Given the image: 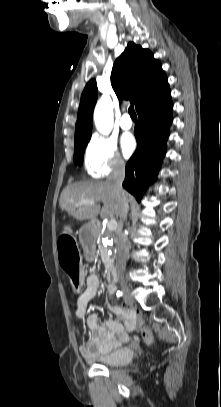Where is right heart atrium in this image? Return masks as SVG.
Segmentation results:
<instances>
[{
    "instance_id": "1",
    "label": "right heart atrium",
    "mask_w": 221,
    "mask_h": 407,
    "mask_svg": "<svg viewBox=\"0 0 221 407\" xmlns=\"http://www.w3.org/2000/svg\"><path fill=\"white\" fill-rule=\"evenodd\" d=\"M84 162L87 172L95 178L104 177L125 166L115 141L101 135H94L88 142Z\"/></svg>"
}]
</instances>
